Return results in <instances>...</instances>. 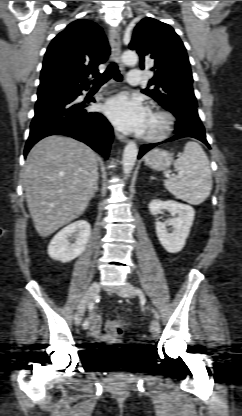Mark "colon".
<instances>
[{
	"label": "colon",
	"mask_w": 242,
	"mask_h": 416,
	"mask_svg": "<svg viewBox=\"0 0 242 416\" xmlns=\"http://www.w3.org/2000/svg\"><path fill=\"white\" fill-rule=\"evenodd\" d=\"M128 327V320L123 316L109 319L105 324V329L110 336L121 335Z\"/></svg>",
	"instance_id": "colon-1"
}]
</instances>
